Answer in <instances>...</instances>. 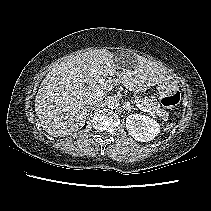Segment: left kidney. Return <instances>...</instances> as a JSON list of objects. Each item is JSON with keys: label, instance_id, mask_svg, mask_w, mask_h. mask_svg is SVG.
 Returning a JSON list of instances; mask_svg holds the SVG:
<instances>
[{"label": "left kidney", "instance_id": "obj_1", "mask_svg": "<svg viewBox=\"0 0 211 211\" xmlns=\"http://www.w3.org/2000/svg\"><path fill=\"white\" fill-rule=\"evenodd\" d=\"M128 133L137 141L149 142L160 133V124L152 118L131 114L126 118Z\"/></svg>", "mask_w": 211, "mask_h": 211}]
</instances>
